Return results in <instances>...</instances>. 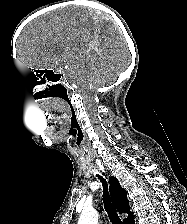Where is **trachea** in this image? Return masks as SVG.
Listing matches in <instances>:
<instances>
[{"instance_id": "trachea-1", "label": "trachea", "mask_w": 187, "mask_h": 224, "mask_svg": "<svg viewBox=\"0 0 187 224\" xmlns=\"http://www.w3.org/2000/svg\"><path fill=\"white\" fill-rule=\"evenodd\" d=\"M100 179V181L102 182V186H103V204L105 207V210L108 214V217L111 221L112 224H122V221L120 219V217L117 214L116 209L114 208L109 193H108V184L106 182V180L102 177L97 175Z\"/></svg>"}]
</instances>
